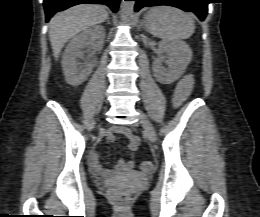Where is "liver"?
<instances>
[{
  "instance_id": "obj_1",
  "label": "liver",
  "mask_w": 260,
  "mask_h": 217,
  "mask_svg": "<svg viewBox=\"0 0 260 217\" xmlns=\"http://www.w3.org/2000/svg\"><path fill=\"white\" fill-rule=\"evenodd\" d=\"M108 12L99 5L73 6L54 15L49 22V39L57 60L65 43L80 31L104 22Z\"/></svg>"
}]
</instances>
